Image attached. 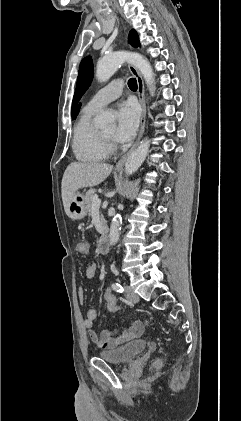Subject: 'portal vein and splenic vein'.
Returning a JSON list of instances; mask_svg holds the SVG:
<instances>
[{
	"label": "portal vein and splenic vein",
	"instance_id": "obj_1",
	"mask_svg": "<svg viewBox=\"0 0 241 421\" xmlns=\"http://www.w3.org/2000/svg\"><path fill=\"white\" fill-rule=\"evenodd\" d=\"M101 205V200L98 198V195H94L93 202H92V208H99Z\"/></svg>",
	"mask_w": 241,
	"mask_h": 421
}]
</instances>
